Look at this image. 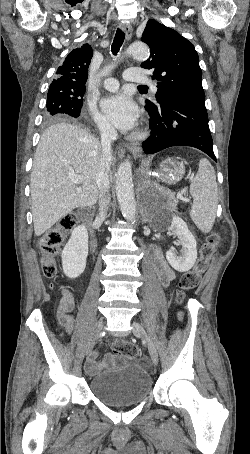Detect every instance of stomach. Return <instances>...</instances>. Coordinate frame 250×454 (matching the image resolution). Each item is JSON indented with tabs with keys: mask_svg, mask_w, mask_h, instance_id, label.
Instances as JSON below:
<instances>
[{
	"mask_svg": "<svg viewBox=\"0 0 250 454\" xmlns=\"http://www.w3.org/2000/svg\"><path fill=\"white\" fill-rule=\"evenodd\" d=\"M184 175L183 165L173 159H166L161 163L160 177L168 183L180 180Z\"/></svg>",
	"mask_w": 250,
	"mask_h": 454,
	"instance_id": "1",
	"label": "stomach"
}]
</instances>
